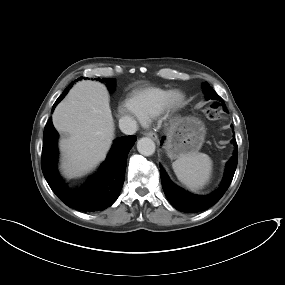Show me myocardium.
Instances as JSON below:
<instances>
[{
  "instance_id": "myocardium-1",
  "label": "myocardium",
  "mask_w": 285,
  "mask_h": 285,
  "mask_svg": "<svg viewBox=\"0 0 285 285\" xmlns=\"http://www.w3.org/2000/svg\"><path fill=\"white\" fill-rule=\"evenodd\" d=\"M186 102V96L180 90H171L167 96L163 113L169 115L180 110Z\"/></svg>"
}]
</instances>
